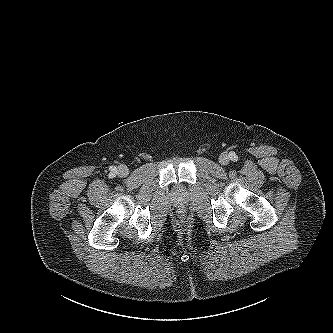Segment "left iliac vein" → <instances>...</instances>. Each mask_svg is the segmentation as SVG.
<instances>
[{"label": "left iliac vein", "instance_id": "left-iliac-vein-1", "mask_svg": "<svg viewBox=\"0 0 333 333\" xmlns=\"http://www.w3.org/2000/svg\"><path fill=\"white\" fill-rule=\"evenodd\" d=\"M219 162L222 165H227L229 163V156L226 153L221 154L219 158Z\"/></svg>", "mask_w": 333, "mask_h": 333}]
</instances>
